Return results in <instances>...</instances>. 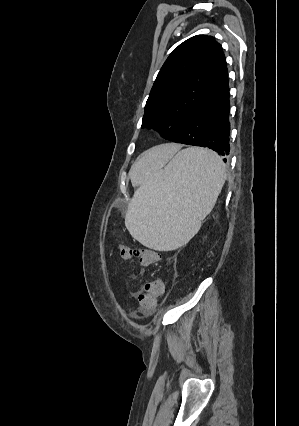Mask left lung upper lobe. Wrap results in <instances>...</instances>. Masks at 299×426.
I'll list each match as a JSON object with an SVG mask.
<instances>
[{
	"instance_id": "left-lung-upper-lobe-1",
	"label": "left lung upper lobe",
	"mask_w": 299,
	"mask_h": 426,
	"mask_svg": "<svg viewBox=\"0 0 299 426\" xmlns=\"http://www.w3.org/2000/svg\"><path fill=\"white\" fill-rule=\"evenodd\" d=\"M227 72L223 49L214 37L196 35L184 41L157 75L142 128H154L171 141L193 111L224 82Z\"/></svg>"
}]
</instances>
